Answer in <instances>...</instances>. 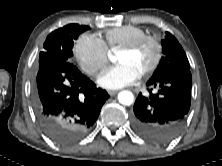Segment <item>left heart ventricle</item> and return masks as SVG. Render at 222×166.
<instances>
[{
    "instance_id": "1",
    "label": "left heart ventricle",
    "mask_w": 222,
    "mask_h": 166,
    "mask_svg": "<svg viewBox=\"0 0 222 166\" xmlns=\"http://www.w3.org/2000/svg\"><path fill=\"white\" fill-rule=\"evenodd\" d=\"M155 49L150 42L141 45L136 51H119L116 56L118 63H126L135 68L140 74L145 71L152 63Z\"/></svg>"
}]
</instances>
